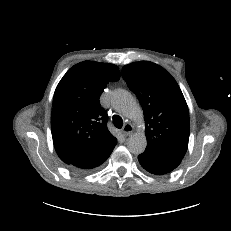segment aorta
Returning a JSON list of instances; mask_svg holds the SVG:
<instances>
[{
    "label": "aorta",
    "instance_id": "aorta-1",
    "mask_svg": "<svg viewBox=\"0 0 231 231\" xmlns=\"http://www.w3.org/2000/svg\"><path fill=\"white\" fill-rule=\"evenodd\" d=\"M113 108L122 115L138 122H143V111L130 92L118 89L113 93L111 100ZM147 146L144 133L131 135L127 142L129 151L135 155L143 153Z\"/></svg>",
    "mask_w": 231,
    "mask_h": 231
}]
</instances>
